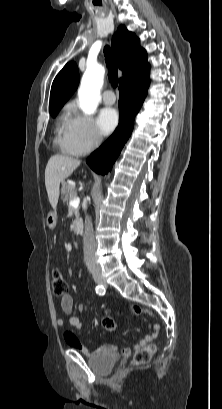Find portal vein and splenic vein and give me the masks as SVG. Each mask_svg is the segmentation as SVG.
Listing matches in <instances>:
<instances>
[{"label":"portal vein and splenic vein","mask_w":222,"mask_h":409,"mask_svg":"<svg viewBox=\"0 0 222 409\" xmlns=\"http://www.w3.org/2000/svg\"><path fill=\"white\" fill-rule=\"evenodd\" d=\"M80 203L79 197H75L74 199L70 200L69 204L70 206H78Z\"/></svg>","instance_id":"18ae733b"}]
</instances>
